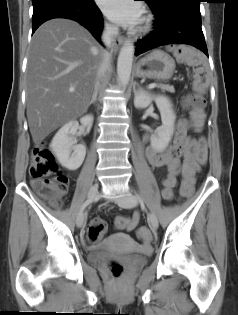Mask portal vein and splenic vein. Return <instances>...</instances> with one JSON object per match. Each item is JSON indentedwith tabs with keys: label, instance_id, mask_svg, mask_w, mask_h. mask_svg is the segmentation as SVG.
Here are the masks:
<instances>
[{
	"label": "portal vein and splenic vein",
	"instance_id": "18ae733b",
	"mask_svg": "<svg viewBox=\"0 0 238 315\" xmlns=\"http://www.w3.org/2000/svg\"><path fill=\"white\" fill-rule=\"evenodd\" d=\"M154 87H156V84H155V83L149 85V88H154ZM69 91H70V92H74V91H75V88L71 87V88H69Z\"/></svg>",
	"mask_w": 238,
	"mask_h": 315
}]
</instances>
